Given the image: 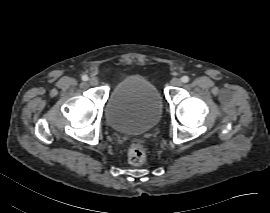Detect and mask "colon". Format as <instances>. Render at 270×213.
Masks as SVG:
<instances>
[{
  "mask_svg": "<svg viewBox=\"0 0 270 213\" xmlns=\"http://www.w3.org/2000/svg\"><path fill=\"white\" fill-rule=\"evenodd\" d=\"M126 158L132 165L142 164L146 159L145 146L140 141L131 142L127 148Z\"/></svg>",
  "mask_w": 270,
  "mask_h": 213,
  "instance_id": "colon-1",
  "label": "colon"
}]
</instances>
